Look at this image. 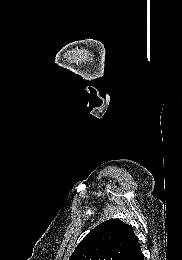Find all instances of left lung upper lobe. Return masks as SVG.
Returning <instances> with one entry per match:
<instances>
[{
    "mask_svg": "<svg viewBox=\"0 0 182 260\" xmlns=\"http://www.w3.org/2000/svg\"><path fill=\"white\" fill-rule=\"evenodd\" d=\"M137 240L131 225L110 219L91 230L69 260H123Z\"/></svg>",
    "mask_w": 182,
    "mask_h": 260,
    "instance_id": "1",
    "label": "left lung upper lobe"
}]
</instances>
